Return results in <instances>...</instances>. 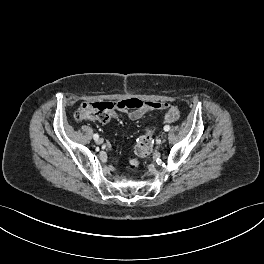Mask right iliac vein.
Here are the masks:
<instances>
[{
  "mask_svg": "<svg viewBox=\"0 0 264 264\" xmlns=\"http://www.w3.org/2000/svg\"><path fill=\"white\" fill-rule=\"evenodd\" d=\"M96 143H97L98 145L102 144V143H103V139H102V138H98V139L96 140Z\"/></svg>",
  "mask_w": 264,
  "mask_h": 264,
  "instance_id": "63e3f726",
  "label": "right iliac vein"
}]
</instances>
